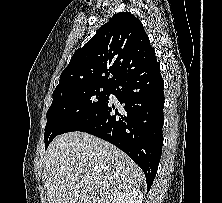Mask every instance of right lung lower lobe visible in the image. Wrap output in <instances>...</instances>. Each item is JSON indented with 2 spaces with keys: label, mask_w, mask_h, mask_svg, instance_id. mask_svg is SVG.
I'll list each match as a JSON object with an SVG mask.
<instances>
[{
  "label": "right lung lower lobe",
  "mask_w": 222,
  "mask_h": 203,
  "mask_svg": "<svg viewBox=\"0 0 222 203\" xmlns=\"http://www.w3.org/2000/svg\"><path fill=\"white\" fill-rule=\"evenodd\" d=\"M160 65L155 60L128 72L110 89L121 106L108 100L61 134L82 131L124 151L143 170L147 191L155 178L162 152L164 92Z\"/></svg>",
  "instance_id": "right-lung-lower-lobe-1"
}]
</instances>
